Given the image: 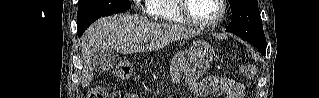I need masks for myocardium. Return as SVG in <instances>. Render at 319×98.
<instances>
[{
  "label": "myocardium",
  "mask_w": 319,
  "mask_h": 98,
  "mask_svg": "<svg viewBox=\"0 0 319 98\" xmlns=\"http://www.w3.org/2000/svg\"><path fill=\"white\" fill-rule=\"evenodd\" d=\"M218 4L220 5V14L219 16L209 22L201 21L196 18H194L189 10H188V1L187 0H178V9L182 16V18L185 20V22L189 25L199 27V28H214L218 26L225 18L227 8H226V2L224 0H217Z\"/></svg>",
  "instance_id": "f54148a6"
}]
</instances>
